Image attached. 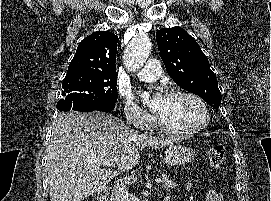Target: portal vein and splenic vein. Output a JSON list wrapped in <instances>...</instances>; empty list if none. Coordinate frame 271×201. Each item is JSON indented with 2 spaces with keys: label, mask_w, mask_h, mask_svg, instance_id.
Wrapping results in <instances>:
<instances>
[{
  "label": "portal vein and splenic vein",
  "mask_w": 271,
  "mask_h": 201,
  "mask_svg": "<svg viewBox=\"0 0 271 201\" xmlns=\"http://www.w3.org/2000/svg\"><path fill=\"white\" fill-rule=\"evenodd\" d=\"M94 162H96L98 164H101V165H104V166L115 167V164L111 160H109L107 158H95ZM156 182L158 184H160L162 182V180L158 178L156 180Z\"/></svg>",
  "instance_id": "portal-vein-and-splenic-vein-1"
}]
</instances>
